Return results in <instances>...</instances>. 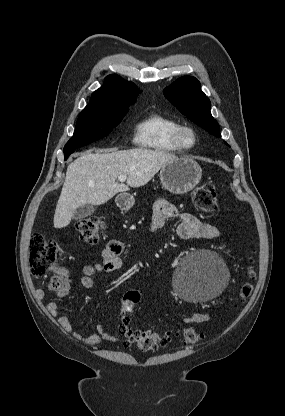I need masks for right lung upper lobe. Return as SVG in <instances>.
Returning <instances> with one entry per match:
<instances>
[{
    "label": "right lung upper lobe",
    "mask_w": 285,
    "mask_h": 416,
    "mask_svg": "<svg viewBox=\"0 0 285 416\" xmlns=\"http://www.w3.org/2000/svg\"><path fill=\"white\" fill-rule=\"evenodd\" d=\"M140 91L119 75L112 74L106 77L104 84L96 90L87 109H112L128 107L134 104Z\"/></svg>",
    "instance_id": "1"
}]
</instances>
